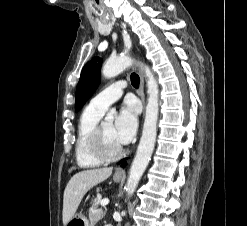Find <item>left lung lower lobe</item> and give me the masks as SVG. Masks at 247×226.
Returning <instances> with one entry per match:
<instances>
[{"label":"left lung lower lobe","mask_w":247,"mask_h":226,"mask_svg":"<svg viewBox=\"0 0 247 226\" xmlns=\"http://www.w3.org/2000/svg\"><path fill=\"white\" fill-rule=\"evenodd\" d=\"M126 163H122V166H125Z\"/></svg>","instance_id":"0a47b994"}]
</instances>
